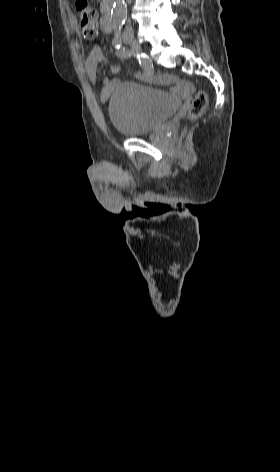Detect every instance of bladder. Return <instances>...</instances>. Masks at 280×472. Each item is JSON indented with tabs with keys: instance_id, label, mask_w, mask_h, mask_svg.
Masks as SVG:
<instances>
[{
	"instance_id": "obj_1",
	"label": "bladder",
	"mask_w": 280,
	"mask_h": 472,
	"mask_svg": "<svg viewBox=\"0 0 280 472\" xmlns=\"http://www.w3.org/2000/svg\"><path fill=\"white\" fill-rule=\"evenodd\" d=\"M178 106V101L164 90L126 81L116 87L110 98L109 116L121 134L140 136L161 126Z\"/></svg>"
}]
</instances>
